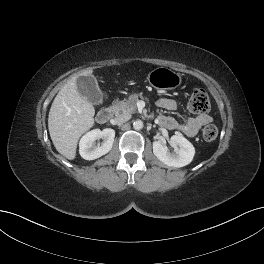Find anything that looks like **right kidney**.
I'll list each match as a JSON object with an SVG mask.
<instances>
[{"label": "right kidney", "mask_w": 264, "mask_h": 264, "mask_svg": "<svg viewBox=\"0 0 264 264\" xmlns=\"http://www.w3.org/2000/svg\"><path fill=\"white\" fill-rule=\"evenodd\" d=\"M103 138L101 145L96 146L95 140ZM115 131L111 128L104 130L94 129L87 132L79 142V153L85 160H94L107 154L113 145Z\"/></svg>", "instance_id": "obj_1"}]
</instances>
